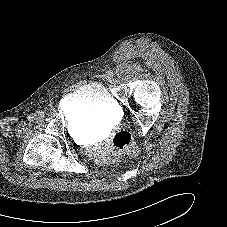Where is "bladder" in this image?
<instances>
[{
  "instance_id": "bladder-1",
  "label": "bladder",
  "mask_w": 227,
  "mask_h": 227,
  "mask_svg": "<svg viewBox=\"0 0 227 227\" xmlns=\"http://www.w3.org/2000/svg\"><path fill=\"white\" fill-rule=\"evenodd\" d=\"M62 108L80 129L112 126L121 114L118 101L100 82L87 83L66 94Z\"/></svg>"
}]
</instances>
